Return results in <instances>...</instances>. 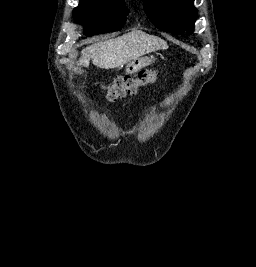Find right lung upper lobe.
<instances>
[{"label": "right lung upper lobe", "mask_w": 256, "mask_h": 267, "mask_svg": "<svg viewBox=\"0 0 256 267\" xmlns=\"http://www.w3.org/2000/svg\"><path fill=\"white\" fill-rule=\"evenodd\" d=\"M81 2H85V1H90V0H80ZM111 1H121L122 2V0H111Z\"/></svg>", "instance_id": "obj_1"}]
</instances>
